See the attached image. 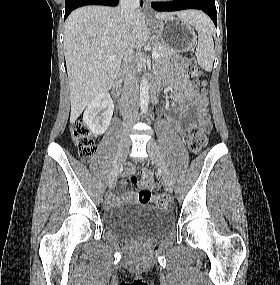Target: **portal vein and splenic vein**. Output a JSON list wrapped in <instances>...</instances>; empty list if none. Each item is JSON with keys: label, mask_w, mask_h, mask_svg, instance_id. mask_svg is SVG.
Instances as JSON below:
<instances>
[{"label": "portal vein and splenic vein", "mask_w": 280, "mask_h": 285, "mask_svg": "<svg viewBox=\"0 0 280 285\" xmlns=\"http://www.w3.org/2000/svg\"><path fill=\"white\" fill-rule=\"evenodd\" d=\"M139 56L141 57L142 55L139 54ZM114 58H115V56H109V57H108V61H111V60H113ZM152 58H153V59L159 58V53H158L157 51H154V50H153V52H152Z\"/></svg>", "instance_id": "18ae733b"}]
</instances>
